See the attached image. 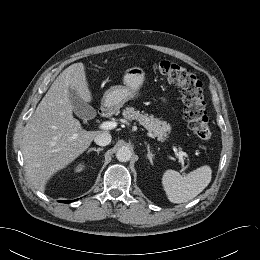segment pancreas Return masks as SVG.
I'll return each instance as SVG.
<instances>
[{"label":"pancreas","mask_w":260,"mask_h":260,"mask_svg":"<svg viewBox=\"0 0 260 260\" xmlns=\"http://www.w3.org/2000/svg\"><path fill=\"white\" fill-rule=\"evenodd\" d=\"M122 115L127 120L138 121L139 124L144 126L152 136L157 137L160 141H164L171 130L170 125L167 124L166 121H161L159 118H155L153 115H148L144 111L140 113L133 107H126L125 110H123Z\"/></svg>","instance_id":"obj_1"}]
</instances>
